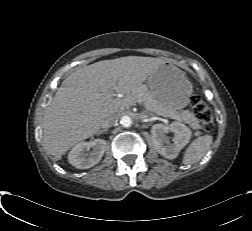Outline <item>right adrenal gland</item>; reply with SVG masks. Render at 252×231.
<instances>
[{
	"label": "right adrenal gland",
	"mask_w": 252,
	"mask_h": 231,
	"mask_svg": "<svg viewBox=\"0 0 252 231\" xmlns=\"http://www.w3.org/2000/svg\"><path fill=\"white\" fill-rule=\"evenodd\" d=\"M106 131H107V129L101 130V131L99 132V134H101V133H103V132H106Z\"/></svg>",
	"instance_id": "1"
}]
</instances>
